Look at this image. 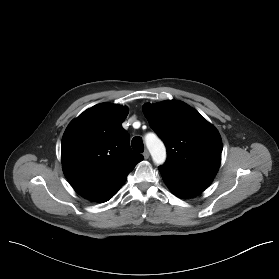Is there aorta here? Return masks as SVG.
<instances>
[{"mask_svg": "<svg viewBox=\"0 0 279 279\" xmlns=\"http://www.w3.org/2000/svg\"><path fill=\"white\" fill-rule=\"evenodd\" d=\"M145 142L154 163L162 165L166 160V149L163 142L153 134L146 136Z\"/></svg>", "mask_w": 279, "mask_h": 279, "instance_id": "obj_1", "label": "aorta"}]
</instances>
